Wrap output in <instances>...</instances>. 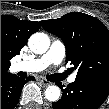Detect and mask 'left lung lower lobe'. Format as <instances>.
<instances>
[{
	"label": "left lung lower lobe",
	"instance_id": "1",
	"mask_svg": "<svg viewBox=\"0 0 109 109\" xmlns=\"http://www.w3.org/2000/svg\"><path fill=\"white\" fill-rule=\"evenodd\" d=\"M62 90L59 101L52 103L53 109H98L109 95V85L87 78H76Z\"/></svg>",
	"mask_w": 109,
	"mask_h": 109
}]
</instances>
